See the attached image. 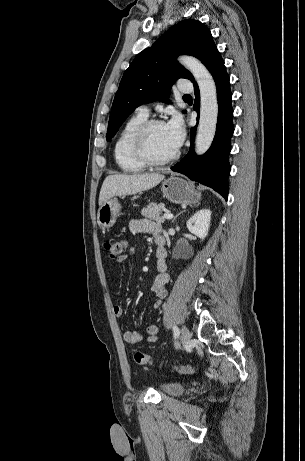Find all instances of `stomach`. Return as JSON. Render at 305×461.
Returning <instances> with one entry per match:
<instances>
[{
	"label": "stomach",
	"mask_w": 305,
	"mask_h": 461,
	"mask_svg": "<svg viewBox=\"0 0 305 461\" xmlns=\"http://www.w3.org/2000/svg\"><path fill=\"white\" fill-rule=\"evenodd\" d=\"M161 190L163 196L175 204H192L199 201L201 194L197 192L190 182L172 176L165 180ZM121 205L117 198L107 200L98 209L97 222L105 229L111 228L119 216Z\"/></svg>",
	"instance_id": "0dacf381"
}]
</instances>
